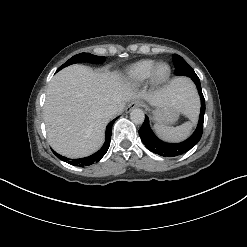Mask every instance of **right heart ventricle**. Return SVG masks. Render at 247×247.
<instances>
[{
  "instance_id": "1",
  "label": "right heart ventricle",
  "mask_w": 247,
  "mask_h": 247,
  "mask_svg": "<svg viewBox=\"0 0 247 247\" xmlns=\"http://www.w3.org/2000/svg\"><path fill=\"white\" fill-rule=\"evenodd\" d=\"M156 60L143 59L131 64L125 71V79L132 84H139L150 78Z\"/></svg>"
}]
</instances>
